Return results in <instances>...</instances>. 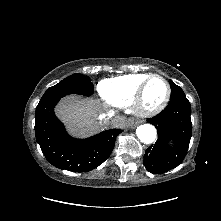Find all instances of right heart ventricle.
<instances>
[{
    "instance_id": "1",
    "label": "right heart ventricle",
    "mask_w": 221,
    "mask_h": 221,
    "mask_svg": "<svg viewBox=\"0 0 221 221\" xmlns=\"http://www.w3.org/2000/svg\"><path fill=\"white\" fill-rule=\"evenodd\" d=\"M148 74H129L105 79L99 83L102 98L111 106L122 108L132 104L135 94Z\"/></svg>"
}]
</instances>
